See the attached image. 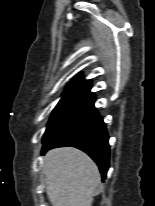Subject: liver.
I'll return each mask as SVG.
<instances>
[{"label":"liver","mask_w":155,"mask_h":206,"mask_svg":"<svg viewBox=\"0 0 155 206\" xmlns=\"http://www.w3.org/2000/svg\"><path fill=\"white\" fill-rule=\"evenodd\" d=\"M43 168L52 206H92L101 175L88 155L71 147L52 149L44 157Z\"/></svg>","instance_id":"1"}]
</instances>
